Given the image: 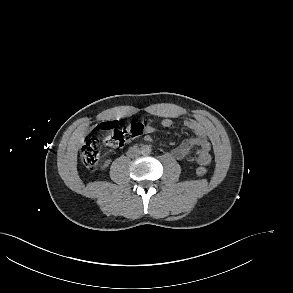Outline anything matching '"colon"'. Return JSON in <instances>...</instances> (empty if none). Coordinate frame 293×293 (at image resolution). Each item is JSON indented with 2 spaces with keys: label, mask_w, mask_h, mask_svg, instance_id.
Returning a JSON list of instances; mask_svg holds the SVG:
<instances>
[{
  "label": "colon",
  "mask_w": 293,
  "mask_h": 293,
  "mask_svg": "<svg viewBox=\"0 0 293 293\" xmlns=\"http://www.w3.org/2000/svg\"><path fill=\"white\" fill-rule=\"evenodd\" d=\"M149 126L148 122H125L123 126L115 121L104 122L100 125V131L107 132L104 144L111 147H121L138 138ZM101 143L94 137H89L83 143L80 150L82 163L90 170H96L99 166ZM207 173L206 167H199L196 170L198 176Z\"/></svg>",
  "instance_id": "5ec220e1"
}]
</instances>
